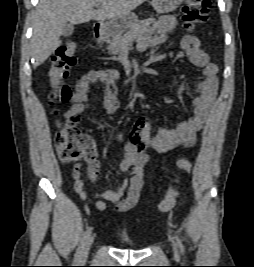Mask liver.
I'll list each match as a JSON object with an SVG mask.
<instances>
[{
    "mask_svg": "<svg viewBox=\"0 0 254 267\" xmlns=\"http://www.w3.org/2000/svg\"><path fill=\"white\" fill-rule=\"evenodd\" d=\"M147 0H40L34 12L30 54L36 69L61 45L65 24L118 19ZM100 4L97 10L93 7Z\"/></svg>",
    "mask_w": 254,
    "mask_h": 267,
    "instance_id": "liver-1",
    "label": "liver"
}]
</instances>
